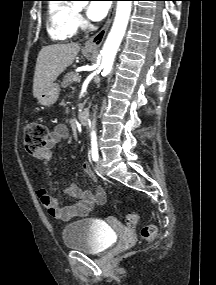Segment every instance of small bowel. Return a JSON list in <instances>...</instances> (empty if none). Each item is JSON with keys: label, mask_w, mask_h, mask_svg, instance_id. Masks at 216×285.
Masks as SVG:
<instances>
[{"label": "small bowel", "mask_w": 216, "mask_h": 285, "mask_svg": "<svg viewBox=\"0 0 216 285\" xmlns=\"http://www.w3.org/2000/svg\"><path fill=\"white\" fill-rule=\"evenodd\" d=\"M69 134L68 127L63 124L57 125L52 130L48 137L46 153L43 157L45 163H48L51 158L50 150L60 141L67 139ZM83 171L93 183L96 182V176L88 163L83 164ZM66 194L75 199L76 202L68 206H60L57 199L51 196L46 189L37 191V196L49 215L61 221L84 217L91 212L95 204H102L105 201V193L98 186L84 190L72 183L67 188Z\"/></svg>", "instance_id": "1"}]
</instances>
